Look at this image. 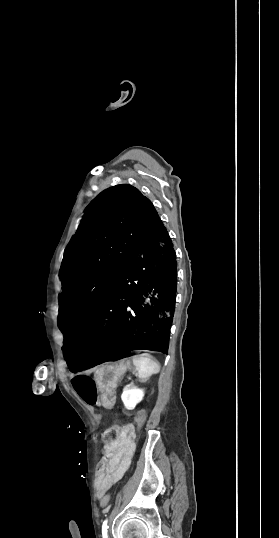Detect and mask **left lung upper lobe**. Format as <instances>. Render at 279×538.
Instances as JSON below:
<instances>
[{
	"mask_svg": "<svg viewBox=\"0 0 279 538\" xmlns=\"http://www.w3.org/2000/svg\"><path fill=\"white\" fill-rule=\"evenodd\" d=\"M85 212L60 270L58 325L64 336L92 320L159 217L151 201L127 184L106 189Z\"/></svg>",
	"mask_w": 279,
	"mask_h": 538,
	"instance_id": "1",
	"label": "left lung upper lobe"
}]
</instances>
